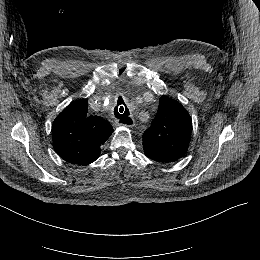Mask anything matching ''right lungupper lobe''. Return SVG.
I'll return each mask as SVG.
<instances>
[{
    "label": "right lung upper lobe",
    "mask_w": 260,
    "mask_h": 260,
    "mask_svg": "<svg viewBox=\"0 0 260 260\" xmlns=\"http://www.w3.org/2000/svg\"><path fill=\"white\" fill-rule=\"evenodd\" d=\"M87 99L67 106L52 125L53 145L60 157L72 164L87 165L100 156L101 145L113 128L100 116L87 115Z\"/></svg>",
    "instance_id": "1"
}]
</instances>
